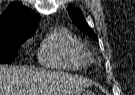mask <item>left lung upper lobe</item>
<instances>
[{
	"label": "left lung upper lobe",
	"instance_id": "obj_1",
	"mask_svg": "<svg viewBox=\"0 0 135 95\" xmlns=\"http://www.w3.org/2000/svg\"><path fill=\"white\" fill-rule=\"evenodd\" d=\"M69 15L71 16L72 20L76 24V26L89 37L93 38L94 40L98 41L97 36L94 34L93 30L88 26L87 22L84 19V16L81 12L77 11L76 9H69Z\"/></svg>",
	"mask_w": 135,
	"mask_h": 95
}]
</instances>
